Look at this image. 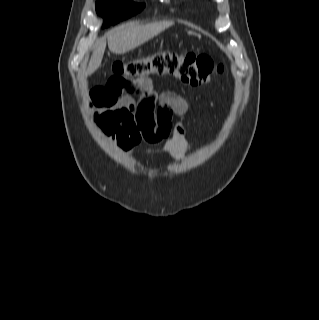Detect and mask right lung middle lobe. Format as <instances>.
Segmentation results:
<instances>
[{"label": "right lung middle lobe", "mask_w": 319, "mask_h": 320, "mask_svg": "<svg viewBox=\"0 0 319 320\" xmlns=\"http://www.w3.org/2000/svg\"><path fill=\"white\" fill-rule=\"evenodd\" d=\"M144 6V4H136L127 0H98L96 11L105 17L104 27H107L137 14Z\"/></svg>", "instance_id": "obj_1"}]
</instances>
